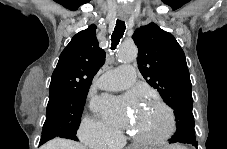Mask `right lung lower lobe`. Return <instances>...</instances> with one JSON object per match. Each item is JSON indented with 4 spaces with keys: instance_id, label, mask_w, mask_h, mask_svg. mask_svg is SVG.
I'll return each mask as SVG.
<instances>
[{
    "instance_id": "1",
    "label": "right lung lower lobe",
    "mask_w": 227,
    "mask_h": 149,
    "mask_svg": "<svg viewBox=\"0 0 227 149\" xmlns=\"http://www.w3.org/2000/svg\"><path fill=\"white\" fill-rule=\"evenodd\" d=\"M55 137H61V138H67V139H72V140H78L76 135H70V134H67V135H62V136H56L55 134H45L41 137V140H40V143L39 145H42L44 144L45 142L55 138Z\"/></svg>"
}]
</instances>
